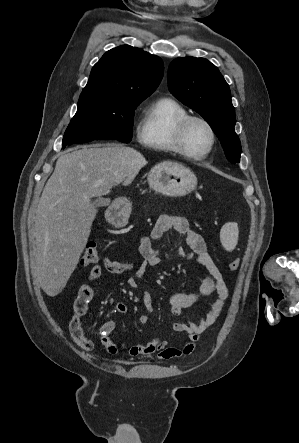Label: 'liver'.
Here are the masks:
<instances>
[{"label":"liver","instance_id":"6515ba94","mask_svg":"<svg viewBox=\"0 0 299 443\" xmlns=\"http://www.w3.org/2000/svg\"><path fill=\"white\" fill-rule=\"evenodd\" d=\"M146 164L122 145L82 147L58 158L35 217V274L48 296L58 295L77 267L97 214L91 199L132 181Z\"/></svg>","mask_w":299,"mask_h":443}]
</instances>
